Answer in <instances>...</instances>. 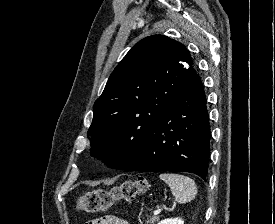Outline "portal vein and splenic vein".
Returning <instances> with one entry per match:
<instances>
[{
  "label": "portal vein and splenic vein",
  "mask_w": 275,
  "mask_h": 224,
  "mask_svg": "<svg viewBox=\"0 0 275 224\" xmlns=\"http://www.w3.org/2000/svg\"><path fill=\"white\" fill-rule=\"evenodd\" d=\"M162 211V208H158L154 211V215H158L160 214V212Z\"/></svg>",
  "instance_id": "18ae733b"
}]
</instances>
